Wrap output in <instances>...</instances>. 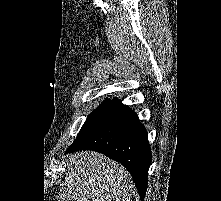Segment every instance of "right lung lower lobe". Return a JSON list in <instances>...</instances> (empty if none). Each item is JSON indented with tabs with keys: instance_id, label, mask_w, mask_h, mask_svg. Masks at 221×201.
Returning <instances> with one entry per match:
<instances>
[{
	"instance_id": "obj_1",
	"label": "right lung lower lobe",
	"mask_w": 221,
	"mask_h": 201,
	"mask_svg": "<svg viewBox=\"0 0 221 201\" xmlns=\"http://www.w3.org/2000/svg\"><path fill=\"white\" fill-rule=\"evenodd\" d=\"M79 150L97 151L120 162L144 199L152 155L146 129L128 106L117 99L108 101L82 127L66 153Z\"/></svg>"
}]
</instances>
